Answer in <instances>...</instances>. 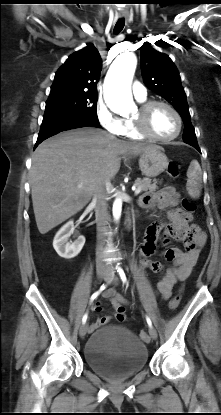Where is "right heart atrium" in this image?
Listing matches in <instances>:
<instances>
[{
    "instance_id": "obj_1",
    "label": "right heart atrium",
    "mask_w": 221,
    "mask_h": 415,
    "mask_svg": "<svg viewBox=\"0 0 221 415\" xmlns=\"http://www.w3.org/2000/svg\"><path fill=\"white\" fill-rule=\"evenodd\" d=\"M96 116L100 125L110 134L120 136L125 130V120L113 113L103 100L96 105Z\"/></svg>"
}]
</instances>
